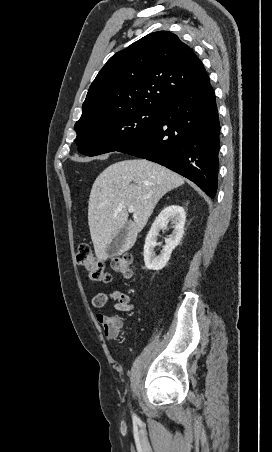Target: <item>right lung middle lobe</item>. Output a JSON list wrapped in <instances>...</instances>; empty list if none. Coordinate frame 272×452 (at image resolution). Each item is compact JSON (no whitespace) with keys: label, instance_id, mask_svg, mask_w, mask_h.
Instances as JSON below:
<instances>
[{"label":"right lung middle lobe","instance_id":"1","mask_svg":"<svg viewBox=\"0 0 272 452\" xmlns=\"http://www.w3.org/2000/svg\"><path fill=\"white\" fill-rule=\"evenodd\" d=\"M162 108L140 106L101 114L75 124L78 151L87 156L118 151L142 136Z\"/></svg>","mask_w":272,"mask_h":452}]
</instances>
